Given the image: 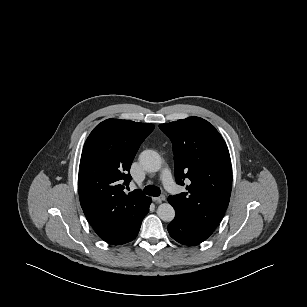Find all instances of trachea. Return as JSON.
<instances>
[{"label":"trachea","mask_w":307,"mask_h":307,"mask_svg":"<svg viewBox=\"0 0 307 307\" xmlns=\"http://www.w3.org/2000/svg\"><path fill=\"white\" fill-rule=\"evenodd\" d=\"M144 193L149 196L158 197L161 193L160 188L152 185H148L144 188Z\"/></svg>","instance_id":"obj_1"}]
</instances>
